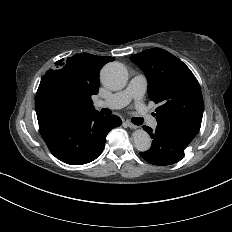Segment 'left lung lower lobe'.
<instances>
[{"label":"left lung lower lobe","mask_w":232,"mask_h":232,"mask_svg":"<svg viewBox=\"0 0 232 232\" xmlns=\"http://www.w3.org/2000/svg\"><path fill=\"white\" fill-rule=\"evenodd\" d=\"M153 139L150 149L140 152V156L153 165H171L184 157V150L189 145L168 132L156 128L154 131L148 126H143Z\"/></svg>","instance_id":"0a47b994"}]
</instances>
